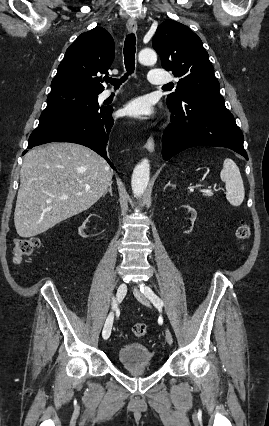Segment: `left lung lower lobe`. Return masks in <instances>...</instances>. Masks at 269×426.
<instances>
[{
    "mask_svg": "<svg viewBox=\"0 0 269 426\" xmlns=\"http://www.w3.org/2000/svg\"><path fill=\"white\" fill-rule=\"evenodd\" d=\"M172 123L163 135L165 160L194 146L227 147L248 160L244 137L219 91L199 90L176 104H167Z\"/></svg>",
    "mask_w": 269,
    "mask_h": 426,
    "instance_id": "0a47b994",
    "label": "left lung lower lobe"
}]
</instances>
